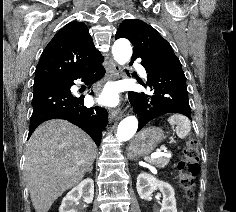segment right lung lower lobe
Segmentation results:
<instances>
[{
    "instance_id": "1",
    "label": "right lung lower lobe",
    "mask_w": 236,
    "mask_h": 212,
    "mask_svg": "<svg viewBox=\"0 0 236 212\" xmlns=\"http://www.w3.org/2000/svg\"><path fill=\"white\" fill-rule=\"evenodd\" d=\"M102 61L103 59L95 62L66 80L44 79L34 82L33 113L28 138L40 123L50 119H65L83 129L97 146L100 145L101 133L107 124V111L98 106L87 108L84 106V97L73 96L70 88L76 79H81L87 84L101 79L105 74Z\"/></svg>"
}]
</instances>
